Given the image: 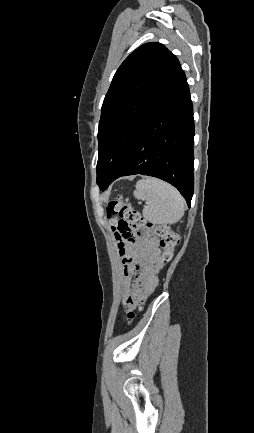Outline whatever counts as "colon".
<instances>
[{
    "instance_id": "colon-1",
    "label": "colon",
    "mask_w": 254,
    "mask_h": 433,
    "mask_svg": "<svg viewBox=\"0 0 254 433\" xmlns=\"http://www.w3.org/2000/svg\"><path fill=\"white\" fill-rule=\"evenodd\" d=\"M105 204L106 214L111 221L121 255L124 253L125 245L132 243L137 236L155 234L163 260L169 262L173 258L176 246L179 243V237L171 230L169 225L154 227L152 224L146 223L141 213L122 196L106 201ZM113 217H119V221L115 222L112 219ZM141 302L142 300H135L131 297L126 300L128 320L134 318L131 307Z\"/></svg>"
}]
</instances>
